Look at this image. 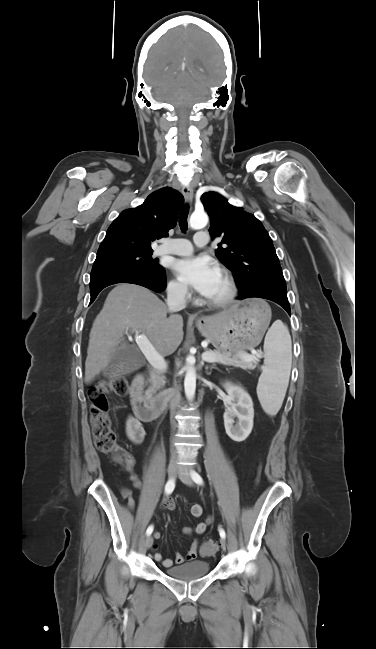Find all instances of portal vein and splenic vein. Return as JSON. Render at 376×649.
I'll list each match as a JSON object with an SVG mask.
<instances>
[{"label":"portal vein and splenic vein","mask_w":376,"mask_h":649,"mask_svg":"<svg viewBox=\"0 0 376 649\" xmlns=\"http://www.w3.org/2000/svg\"><path fill=\"white\" fill-rule=\"evenodd\" d=\"M135 339H136V342L139 345L142 353L144 354V356L146 357L148 362L153 366V368H155L159 372H164L166 370V368H167V364H166L163 356H161L156 351V349L154 348L152 343L148 340L146 335L136 333ZM237 357L244 360V361H247V362L257 360L256 356L250 355V354L237 355ZM202 359L205 362L213 363V362H217V360L219 359V356L214 354V353H206V354H204L202 356Z\"/></svg>","instance_id":"portal-vein-and-splenic-vein-1"}]
</instances>
